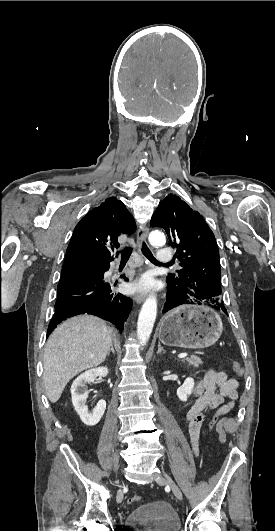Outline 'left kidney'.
<instances>
[{
    "mask_svg": "<svg viewBox=\"0 0 275 531\" xmlns=\"http://www.w3.org/2000/svg\"><path fill=\"white\" fill-rule=\"evenodd\" d=\"M194 385V379H191V377H189V379H185L182 387H179V389H177V395L180 401H187L189 395H191L194 389Z\"/></svg>",
    "mask_w": 275,
    "mask_h": 531,
    "instance_id": "1",
    "label": "left kidney"
}]
</instances>
